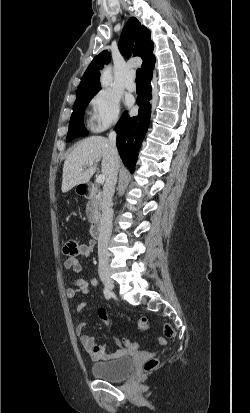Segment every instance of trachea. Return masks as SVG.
Segmentation results:
<instances>
[{
	"label": "trachea",
	"mask_w": 250,
	"mask_h": 413,
	"mask_svg": "<svg viewBox=\"0 0 250 413\" xmlns=\"http://www.w3.org/2000/svg\"><path fill=\"white\" fill-rule=\"evenodd\" d=\"M136 83H142L141 69H137L136 71Z\"/></svg>",
	"instance_id": "1"
}]
</instances>
